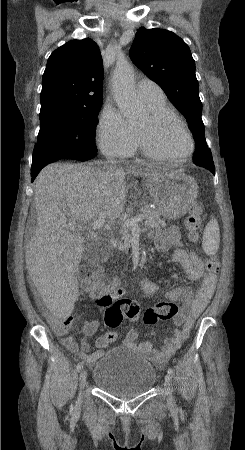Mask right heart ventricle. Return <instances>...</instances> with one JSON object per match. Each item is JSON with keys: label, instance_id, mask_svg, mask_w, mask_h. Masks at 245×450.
Wrapping results in <instances>:
<instances>
[{"label": "right heart ventricle", "instance_id": "obj_1", "mask_svg": "<svg viewBox=\"0 0 245 450\" xmlns=\"http://www.w3.org/2000/svg\"><path fill=\"white\" fill-rule=\"evenodd\" d=\"M146 106L149 108V110L151 112L152 111H156V110H162V109H167V110H171L172 112H174V110H172L170 107H168L166 105L165 101H162V102H159V103H155V104H151V105H146Z\"/></svg>", "mask_w": 245, "mask_h": 450}]
</instances>
